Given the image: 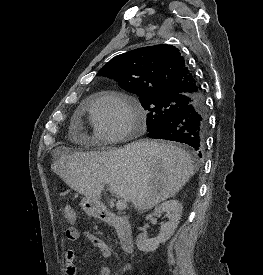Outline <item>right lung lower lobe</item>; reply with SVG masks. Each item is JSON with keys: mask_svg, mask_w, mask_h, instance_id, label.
Segmentation results:
<instances>
[{"mask_svg": "<svg viewBox=\"0 0 263 275\" xmlns=\"http://www.w3.org/2000/svg\"><path fill=\"white\" fill-rule=\"evenodd\" d=\"M207 109L203 95L195 94L182 111L149 130L147 136L172 140L191 146L201 157L207 133Z\"/></svg>", "mask_w": 263, "mask_h": 275, "instance_id": "98d812e1", "label": "right lung lower lobe"}]
</instances>
